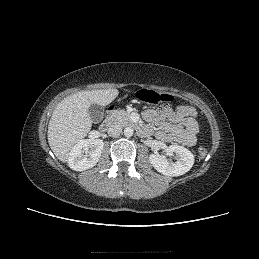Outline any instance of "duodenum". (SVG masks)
Instances as JSON below:
<instances>
[{
    "instance_id": "410a0bca",
    "label": "duodenum",
    "mask_w": 259,
    "mask_h": 259,
    "mask_svg": "<svg viewBox=\"0 0 259 259\" xmlns=\"http://www.w3.org/2000/svg\"><path fill=\"white\" fill-rule=\"evenodd\" d=\"M113 125V119L111 117H107L100 125V130L102 132L107 131L108 129L111 128V126Z\"/></svg>"
}]
</instances>
